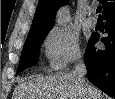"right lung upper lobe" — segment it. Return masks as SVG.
Returning a JSON list of instances; mask_svg holds the SVG:
<instances>
[{
  "instance_id": "cb5924a9",
  "label": "right lung upper lobe",
  "mask_w": 115,
  "mask_h": 99,
  "mask_svg": "<svg viewBox=\"0 0 115 99\" xmlns=\"http://www.w3.org/2000/svg\"><path fill=\"white\" fill-rule=\"evenodd\" d=\"M68 0H40L28 36L48 33L54 24L56 11ZM103 15L115 10V0H102Z\"/></svg>"
}]
</instances>
